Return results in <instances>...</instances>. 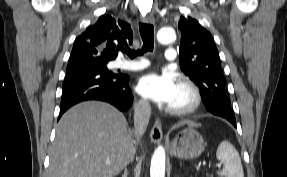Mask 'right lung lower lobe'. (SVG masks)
<instances>
[{"mask_svg":"<svg viewBox=\"0 0 287 177\" xmlns=\"http://www.w3.org/2000/svg\"><path fill=\"white\" fill-rule=\"evenodd\" d=\"M129 79L127 75L91 66L67 71L59 117L73 105L88 100H100L120 111L128 110L133 102Z\"/></svg>","mask_w":287,"mask_h":177,"instance_id":"98d812e1","label":"right lung lower lobe"}]
</instances>
